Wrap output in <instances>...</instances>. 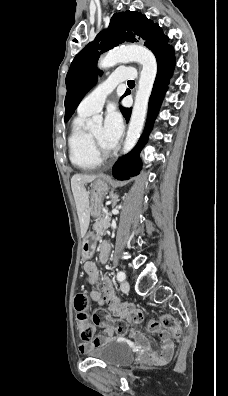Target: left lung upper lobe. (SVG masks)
<instances>
[{"mask_svg":"<svg viewBox=\"0 0 228 396\" xmlns=\"http://www.w3.org/2000/svg\"><path fill=\"white\" fill-rule=\"evenodd\" d=\"M161 35L163 32L159 25L139 12L115 13L109 27L101 31L93 42L86 45L71 63L66 75L65 122L70 119L82 98L96 83L97 74H100L96 68L100 53L125 41L135 42L138 38H142L145 41L144 45L148 47ZM100 49L101 52L98 51Z\"/></svg>","mask_w":228,"mask_h":396,"instance_id":"5c2ea615","label":"left lung upper lobe"}]
</instances>
